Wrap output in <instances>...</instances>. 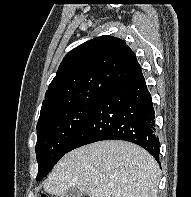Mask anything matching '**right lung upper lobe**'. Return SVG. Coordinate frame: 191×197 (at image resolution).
Masks as SVG:
<instances>
[{
    "mask_svg": "<svg viewBox=\"0 0 191 197\" xmlns=\"http://www.w3.org/2000/svg\"><path fill=\"white\" fill-rule=\"evenodd\" d=\"M141 72L123 40L113 36L91 39L62 60L45 93L39 121L75 105L97 102L113 85Z\"/></svg>",
    "mask_w": 191,
    "mask_h": 197,
    "instance_id": "obj_1",
    "label": "right lung upper lobe"
}]
</instances>
